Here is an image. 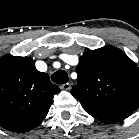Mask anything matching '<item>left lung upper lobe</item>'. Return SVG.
<instances>
[{"label": "left lung upper lobe", "instance_id": "5c2ea615", "mask_svg": "<svg viewBox=\"0 0 139 139\" xmlns=\"http://www.w3.org/2000/svg\"><path fill=\"white\" fill-rule=\"evenodd\" d=\"M78 83L71 94L93 117L131 115L139 106V68L120 49L86 51L76 67Z\"/></svg>", "mask_w": 139, "mask_h": 139}]
</instances>
